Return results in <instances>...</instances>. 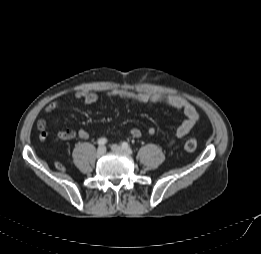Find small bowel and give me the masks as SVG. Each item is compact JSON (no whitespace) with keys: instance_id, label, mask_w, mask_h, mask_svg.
Listing matches in <instances>:
<instances>
[{"instance_id":"obj_1","label":"small bowel","mask_w":261,"mask_h":254,"mask_svg":"<svg viewBox=\"0 0 261 254\" xmlns=\"http://www.w3.org/2000/svg\"><path fill=\"white\" fill-rule=\"evenodd\" d=\"M107 95L109 97L128 99L142 104L164 102L175 109L181 110L185 116V119L177 128L176 131L177 139H182L186 135H188L189 132L192 130V128L199 121V114L195 109V107L185 98L177 95L163 94V93L151 92V91L130 92L123 89L111 90L108 92ZM74 97L78 100H81L85 106L92 105L98 102L100 99L98 94L93 92H87V91H78L74 94ZM61 107H62V102L60 100H54L46 106L45 111L47 113L55 112L58 111ZM37 128L39 130L40 140L45 141L48 136L46 121L40 120L37 124ZM129 134L134 138H139L142 135L141 131L137 128H132L129 131ZM147 134L149 136L154 135L155 129L153 127H150L147 130ZM57 137L61 140H72L75 137H79L85 140L88 139L89 135L83 129H80L78 131L72 129H65L59 131L57 133Z\"/></svg>"}]
</instances>
